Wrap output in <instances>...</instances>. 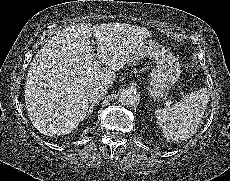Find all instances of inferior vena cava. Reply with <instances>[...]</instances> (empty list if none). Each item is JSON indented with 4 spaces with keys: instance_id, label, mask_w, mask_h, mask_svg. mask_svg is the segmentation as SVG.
Listing matches in <instances>:
<instances>
[{
    "instance_id": "1",
    "label": "inferior vena cava",
    "mask_w": 230,
    "mask_h": 181,
    "mask_svg": "<svg viewBox=\"0 0 230 181\" xmlns=\"http://www.w3.org/2000/svg\"><path fill=\"white\" fill-rule=\"evenodd\" d=\"M107 93V88L104 86H94L90 88L86 93V98L89 101H98L102 99Z\"/></svg>"
}]
</instances>
